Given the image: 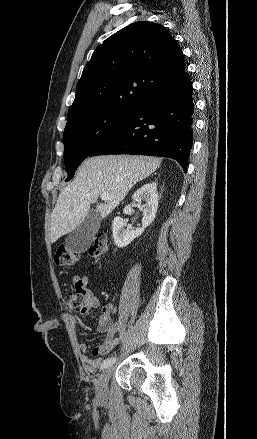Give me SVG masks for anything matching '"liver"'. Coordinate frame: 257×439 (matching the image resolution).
<instances>
[{"label":"liver","instance_id":"6515ba94","mask_svg":"<svg viewBox=\"0 0 257 439\" xmlns=\"http://www.w3.org/2000/svg\"><path fill=\"white\" fill-rule=\"evenodd\" d=\"M161 159L138 155L91 157L79 167L74 181L62 189L51 217L50 238L56 242L85 220L90 205L109 194L112 199L99 203L96 211L106 218L139 181L151 175Z\"/></svg>","mask_w":257,"mask_h":439}]
</instances>
